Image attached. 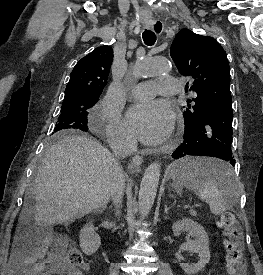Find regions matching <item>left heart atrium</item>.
<instances>
[{"label":"left heart atrium","instance_id":"obj_1","mask_svg":"<svg viewBox=\"0 0 263 275\" xmlns=\"http://www.w3.org/2000/svg\"><path fill=\"white\" fill-rule=\"evenodd\" d=\"M126 121L132 134L148 145L166 141L173 130V115L161 101L139 102L127 112Z\"/></svg>","mask_w":263,"mask_h":275}]
</instances>
